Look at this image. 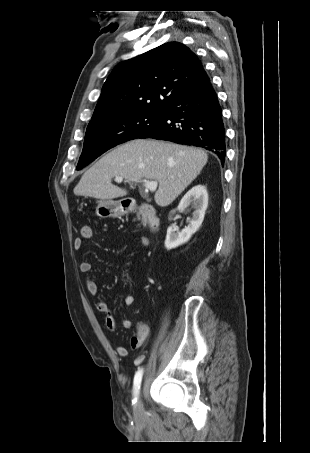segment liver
<instances>
[{"instance_id": "liver-1", "label": "liver", "mask_w": 310, "mask_h": 453, "mask_svg": "<svg viewBox=\"0 0 310 453\" xmlns=\"http://www.w3.org/2000/svg\"><path fill=\"white\" fill-rule=\"evenodd\" d=\"M207 160V153L199 148L136 139L97 161L82 175L73 192L76 196L111 200L127 195L126 190L111 183L113 177L132 183L155 180L159 186L154 200L158 206L166 207L198 176Z\"/></svg>"}]
</instances>
